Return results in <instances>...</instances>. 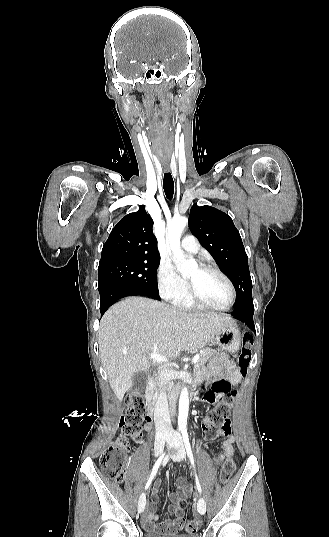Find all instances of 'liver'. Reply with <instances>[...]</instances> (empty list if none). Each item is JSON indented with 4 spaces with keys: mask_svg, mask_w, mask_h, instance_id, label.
<instances>
[{
    "mask_svg": "<svg viewBox=\"0 0 329 537\" xmlns=\"http://www.w3.org/2000/svg\"><path fill=\"white\" fill-rule=\"evenodd\" d=\"M233 323L227 316L187 314L143 297H128L112 305L100 321L98 335L111 389L122 401L135 373L150 368L148 355L155 348L162 357L175 358L182 351L206 346Z\"/></svg>",
    "mask_w": 329,
    "mask_h": 537,
    "instance_id": "1",
    "label": "liver"
}]
</instances>
